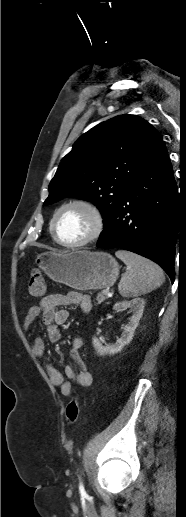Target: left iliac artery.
Masks as SVG:
<instances>
[{
	"instance_id": "obj_1",
	"label": "left iliac artery",
	"mask_w": 186,
	"mask_h": 517,
	"mask_svg": "<svg viewBox=\"0 0 186 517\" xmlns=\"http://www.w3.org/2000/svg\"><path fill=\"white\" fill-rule=\"evenodd\" d=\"M79 491H80V493H81L82 495L86 494V492H85V489H84V486H83V483H82V482H80V483H79Z\"/></svg>"
}]
</instances>
